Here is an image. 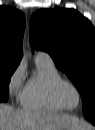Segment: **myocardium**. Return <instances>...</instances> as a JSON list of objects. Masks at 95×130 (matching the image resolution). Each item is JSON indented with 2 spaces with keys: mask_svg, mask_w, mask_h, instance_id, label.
Masks as SVG:
<instances>
[{
  "mask_svg": "<svg viewBox=\"0 0 95 130\" xmlns=\"http://www.w3.org/2000/svg\"><path fill=\"white\" fill-rule=\"evenodd\" d=\"M64 86H71L72 88L75 89V91L77 92L78 94V98H79V102H78V105L74 108L72 107H69L65 104V102L63 101V98H62V95H61V90ZM53 95L56 99V101L65 109V110H68V111H74L76 109H78L82 102H83V95H82V92L80 90V88L71 80H68V79H63L61 78L60 80H58L54 86H53Z\"/></svg>",
  "mask_w": 95,
  "mask_h": 130,
  "instance_id": "f54148a6",
  "label": "myocardium"
}]
</instances>
